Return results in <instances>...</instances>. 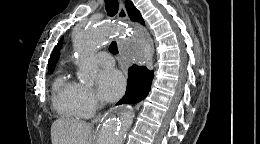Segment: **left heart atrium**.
<instances>
[{"instance_id":"obj_1","label":"left heart atrium","mask_w":260,"mask_h":144,"mask_svg":"<svg viewBox=\"0 0 260 144\" xmlns=\"http://www.w3.org/2000/svg\"><path fill=\"white\" fill-rule=\"evenodd\" d=\"M125 78L118 70L100 72L98 76L99 95L104 101H114L124 92Z\"/></svg>"}]
</instances>
